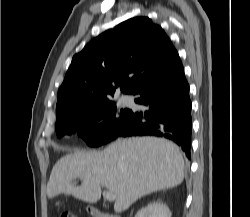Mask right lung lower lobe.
Segmentation results:
<instances>
[{
	"instance_id": "obj_1",
	"label": "right lung lower lobe",
	"mask_w": 250,
	"mask_h": 217,
	"mask_svg": "<svg viewBox=\"0 0 250 217\" xmlns=\"http://www.w3.org/2000/svg\"><path fill=\"white\" fill-rule=\"evenodd\" d=\"M134 95L137 104L147 110L133 112L130 120L117 136L155 135L171 139L190 158L191 100L189 85L179 56L157 78Z\"/></svg>"
}]
</instances>
